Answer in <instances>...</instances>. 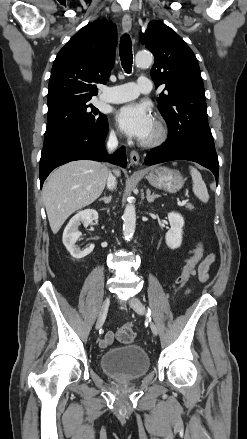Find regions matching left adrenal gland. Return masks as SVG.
<instances>
[{
    "mask_svg": "<svg viewBox=\"0 0 247 439\" xmlns=\"http://www.w3.org/2000/svg\"><path fill=\"white\" fill-rule=\"evenodd\" d=\"M160 196L157 194H151V191L149 188L146 190V199L148 202H153L156 198H159Z\"/></svg>",
    "mask_w": 247,
    "mask_h": 439,
    "instance_id": "left-adrenal-gland-1",
    "label": "left adrenal gland"
}]
</instances>
